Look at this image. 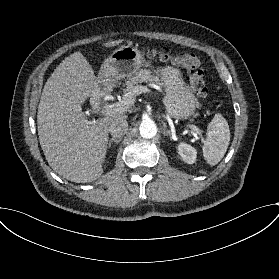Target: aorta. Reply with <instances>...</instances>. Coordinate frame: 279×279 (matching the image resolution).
<instances>
[{
    "instance_id": "1",
    "label": "aorta",
    "mask_w": 279,
    "mask_h": 279,
    "mask_svg": "<svg viewBox=\"0 0 279 279\" xmlns=\"http://www.w3.org/2000/svg\"><path fill=\"white\" fill-rule=\"evenodd\" d=\"M140 135L143 138L150 139L156 136L157 127L153 120H143L139 126Z\"/></svg>"
}]
</instances>
